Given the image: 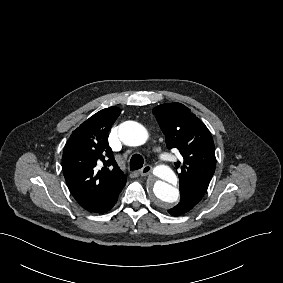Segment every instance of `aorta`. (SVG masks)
Instances as JSON below:
<instances>
[{"mask_svg": "<svg viewBox=\"0 0 283 283\" xmlns=\"http://www.w3.org/2000/svg\"><path fill=\"white\" fill-rule=\"evenodd\" d=\"M119 138L128 146L143 145L148 139V132L144 126L135 121L123 122L119 127ZM158 177L152 186L153 194L161 206L175 203L179 198V190L172 184L177 178L172 169L166 165H160L155 169Z\"/></svg>", "mask_w": 283, "mask_h": 283, "instance_id": "762f6f07", "label": "aorta"}]
</instances>
